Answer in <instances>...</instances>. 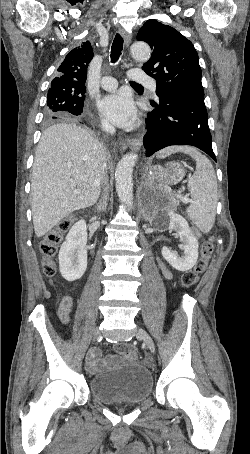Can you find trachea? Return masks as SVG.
Here are the masks:
<instances>
[{"label":"trachea","instance_id":"trachea-1","mask_svg":"<svg viewBox=\"0 0 250 454\" xmlns=\"http://www.w3.org/2000/svg\"><path fill=\"white\" fill-rule=\"evenodd\" d=\"M122 49H123V38L121 37L120 34H116L112 47H111V54H110L112 63H116L118 61V59L121 55ZM131 85L135 86V87H142L141 85H139L138 83H135V82H131Z\"/></svg>","mask_w":250,"mask_h":454}]
</instances>
